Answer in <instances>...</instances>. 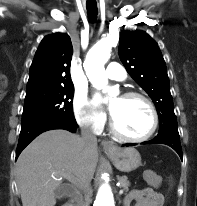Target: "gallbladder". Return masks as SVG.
Listing matches in <instances>:
<instances>
[{
    "mask_svg": "<svg viewBox=\"0 0 197 206\" xmlns=\"http://www.w3.org/2000/svg\"><path fill=\"white\" fill-rule=\"evenodd\" d=\"M55 194L58 198H61L63 197V191H62V188H58L56 191H55Z\"/></svg>",
    "mask_w": 197,
    "mask_h": 206,
    "instance_id": "bac80fb5",
    "label": "gallbladder"
}]
</instances>
